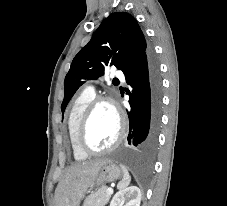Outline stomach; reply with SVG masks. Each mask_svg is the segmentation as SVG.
Listing matches in <instances>:
<instances>
[{"mask_svg": "<svg viewBox=\"0 0 227 206\" xmlns=\"http://www.w3.org/2000/svg\"><path fill=\"white\" fill-rule=\"evenodd\" d=\"M121 175V169L111 161H108L104 165H102L92 185L100 186L105 183L113 182L119 179Z\"/></svg>", "mask_w": 227, "mask_h": 206, "instance_id": "obj_1", "label": "stomach"}]
</instances>
